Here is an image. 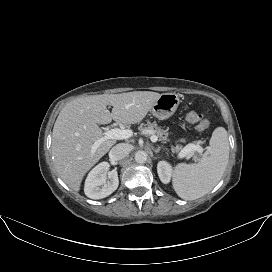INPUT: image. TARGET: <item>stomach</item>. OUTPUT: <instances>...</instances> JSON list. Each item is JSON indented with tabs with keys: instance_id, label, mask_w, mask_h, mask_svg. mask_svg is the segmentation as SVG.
I'll use <instances>...</instances> for the list:
<instances>
[{
	"instance_id": "obj_1",
	"label": "stomach",
	"mask_w": 272,
	"mask_h": 272,
	"mask_svg": "<svg viewBox=\"0 0 272 272\" xmlns=\"http://www.w3.org/2000/svg\"><path fill=\"white\" fill-rule=\"evenodd\" d=\"M180 99L175 93H164L151 108V113L159 120L171 117L178 108Z\"/></svg>"
}]
</instances>
